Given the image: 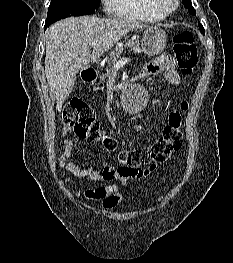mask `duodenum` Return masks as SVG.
<instances>
[{
	"mask_svg": "<svg viewBox=\"0 0 233 263\" xmlns=\"http://www.w3.org/2000/svg\"><path fill=\"white\" fill-rule=\"evenodd\" d=\"M98 77V73L95 69L93 68H88L82 72V80L86 83H93L96 81ZM124 78H129L130 74L129 73H124L123 74ZM143 77V74L140 73L136 76V78ZM123 82H127V79H123Z\"/></svg>",
	"mask_w": 233,
	"mask_h": 263,
	"instance_id": "1",
	"label": "duodenum"
}]
</instances>
